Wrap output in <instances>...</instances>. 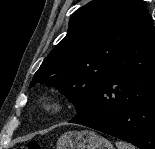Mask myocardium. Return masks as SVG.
<instances>
[{"label":"myocardium","instance_id":"f54148a6","mask_svg":"<svg viewBox=\"0 0 155 149\" xmlns=\"http://www.w3.org/2000/svg\"><path fill=\"white\" fill-rule=\"evenodd\" d=\"M42 108L47 115L56 116L62 112L64 105L60 98L49 97L43 101Z\"/></svg>","mask_w":155,"mask_h":149}]
</instances>
